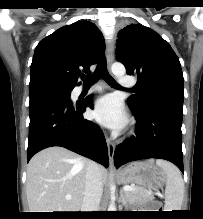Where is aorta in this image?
Returning a JSON list of instances; mask_svg holds the SVG:
<instances>
[{
    "label": "aorta",
    "mask_w": 203,
    "mask_h": 219,
    "mask_svg": "<svg viewBox=\"0 0 203 219\" xmlns=\"http://www.w3.org/2000/svg\"><path fill=\"white\" fill-rule=\"evenodd\" d=\"M111 71L117 78L123 77L126 72L124 65L121 63H114L111 67Z\"/></svg>",
    "instance_id": "762f6f07"
}]
</instances>
